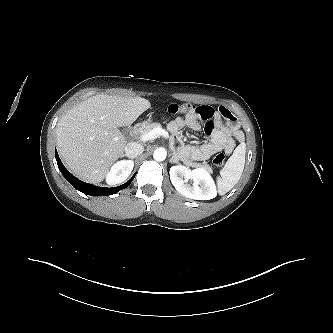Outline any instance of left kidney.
Wrapping results in <instances>:
<instances>
[{
  "mask_svg": "<svg viewBox=\"0 0 333 333\" xmlns=\"http://www.w3.org/2000/svg\"><path fill=\"white\" fill-rule=\"evenodd\" d=\"M170 179L175 189L183 196L196 200H210L217 196L211 172L205 168L194 170L178 165L170 168ZM193 180V185L188 184Z\"/></svg>",
  "mask_w": 333,
  "mask_h": 333,
  "instance_id": "5707ae66",
  "label": "left kidney"
}]
</instances>
